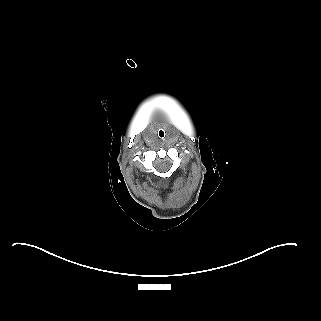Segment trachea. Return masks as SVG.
Wrapping results in <instances>:
<instances>
[{
    "label": "trachea",
    "mask_w": 321,
    "mask_h": 321,
    "mask_svg": "<svg viewBox=\"0 0 321 321\" xmlns=\"http://www.w3.org/2000/svg\"><path fill=\"white\" fill-rule=\"evenodd\" d=\"M166 136V131L165 130H160L159 132H158V137L159 138H164Z\"/></svg>",
    "instance_id": "obj_1"
}]
</instances>
